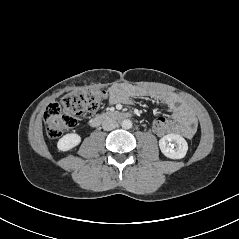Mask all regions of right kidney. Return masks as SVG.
I'll use <instances>...</instances> for the list:
<instances>
[{
  "mask_svg": "<svg viewBox=\"0 0 239 239\" xmlns=\"http://www.w3.org/2000/svg\"><path fill=\"white\" fill-rule=\"evenodd\" d=\"M81 137L76 133H69L59 139L57 148L59 151H69L79 145Z\"/></svg>",
  "mask_w": 239,
  "mask_h": 239,
  "instance_id": "1",
  "label": "right kidney"
}]
</instances>
